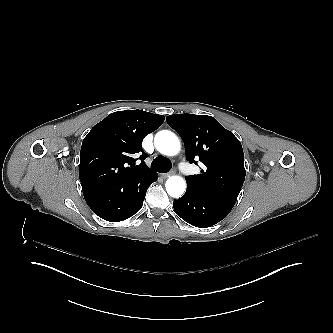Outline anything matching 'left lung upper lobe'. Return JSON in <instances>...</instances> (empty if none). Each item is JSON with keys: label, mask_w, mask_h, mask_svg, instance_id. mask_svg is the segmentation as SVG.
Instances as JSON below:
<instances>
[{"label": "left lung upper lobe", "mask_w": 333, "mask_h": 333, "mask_svg": "<svg viewBox=\"0 0 333 333\" xmlns=\"http://www.w3.org/2000/svg\"><path fill=\"white\" fill-rule=\"evenodd\" d=\"M166 121L183 139L187 160L206 166L201 174L185 177L187 190L235 203L246 174L240 141L211 116L174 114Z\"/></svg>", "instance_id": "1"}]
</instances>
